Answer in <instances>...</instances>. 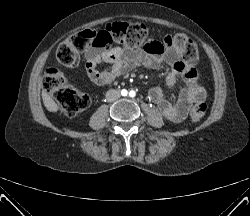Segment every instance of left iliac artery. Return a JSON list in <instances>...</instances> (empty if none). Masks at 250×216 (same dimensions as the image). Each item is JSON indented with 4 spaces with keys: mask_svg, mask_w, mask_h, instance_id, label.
I'll list each match as a JSON object with an SVG mask.
<instances>
[{
    "mask_svg": "<svg viewBox=\"0 0 250 216\" xmlns=\"http://www.w3.org/2000/svg\"><path fill=\"white\" fill-rule=\"evenodd\" d=\"M135 92L132 90V91H130V93H129V95H130V97H134L135 96Z\"/></svg>",
    "mask_w": 250,
    "mask_h": 216,
    "instance_id": "1",
    "label": "left iliac artery"
}]
</instances>
